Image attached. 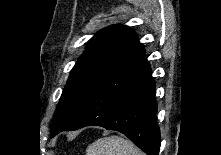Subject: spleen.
Instances as JSON below:
<instances>
[{
  "instance_id": "obj_1",
  "label": "spleen",
  "mask_w": 221,
  "mask_h": 155,
  "mask_svg": "<svg viewBox=\"0 0 221 155\" xmlns=\"http://www.w3.org/2000/svg\"><path fill=\"white\" fill-rule=\"evenodd\" d=\"M86 155H143V153L131 141L112 135L90 144Z\"/></svg>"
}]
</instances>
